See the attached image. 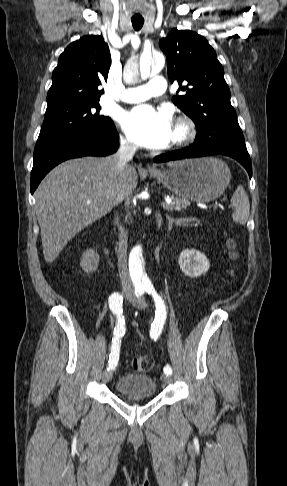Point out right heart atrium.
I'll list each match as a JSON object with an SVG mask.
<instances>
[{
    "label": "right heart atrium",
    "mask_w": 287,
    "mask_h": 486,
    "mask_svg": "<svg viewBox=\"0 0 287 486\" xmlns=\"http://www.w3.org/2000/svg\"><path fill=\"white\" fill-rule=\"evenodd\" d=\"M121 143L126 148H132L133 144L125 137H121Z\"/></svg>",
    "instance_id": "obj_1"
}]
</instances>
